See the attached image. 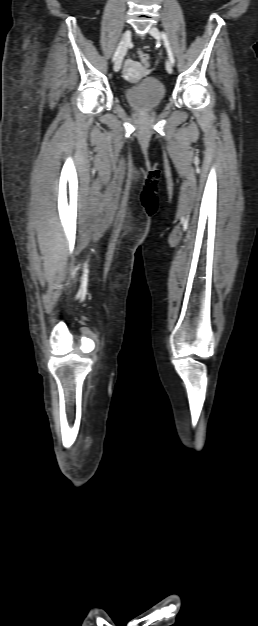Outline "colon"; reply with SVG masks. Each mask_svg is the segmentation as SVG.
Segmentation results:
<instances>
[{"instance_id":"colon-1","label":"colon","mask_w":258,"mask_h":626,"mask_svg":"<svg viewBox=\"0 0 258 626\" xmlns=\"http://www.w3.org/2000/svg\"><path fill=\"white\" fill-rule=\"evenodd\" d=\"M139 60L143 63V64H148L149 62V56L146 52L144 51H138L137 53Z\"/></svg>"}]
</instances>
